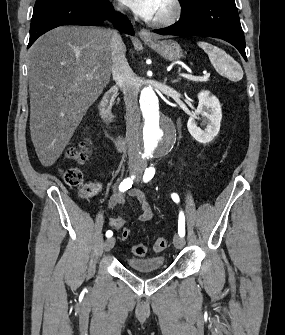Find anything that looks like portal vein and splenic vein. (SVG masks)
I'll list each match as a JSON object with an SVG mask.
<instances>
[{
	"label": "portal vein and splenic vein",
	"instance_id": "obj_1",
	"mask_svg": "<svg viewBox=\"0 0 285 335\" xmlns=\"http://www.w3.org/2000/svg\"><path fill=\"white\" fill-rule=\"evenodd\" d=\"M182 78H186V80H192V82H207L210 74H205V76H191V74H179ZM87 80H92V74H86Z\"/></svg>",
	"mask_w": 285,
	"mask_h": 335
}]
</instances>
